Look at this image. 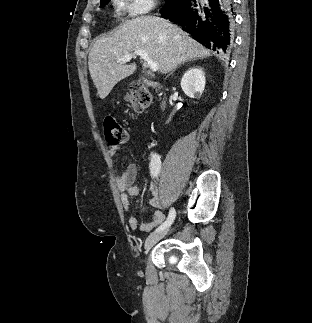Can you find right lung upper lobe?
Segmentation results:
<instances>
[{"mask_svg":"<svg viewBox=\"0 0 312 323\" xmlns=\"http://www.w3.org/2000/svg\"><path fill=\"white\" fill-rule=\"evenodd\" d=\"M107 0H100V3L103 4L105 3Z\"/></svg>","mask_w":312,"mask_h":323,"instance_id":"obj_1","label":"right lung upper lobe"}]
</instances>
